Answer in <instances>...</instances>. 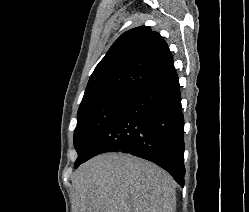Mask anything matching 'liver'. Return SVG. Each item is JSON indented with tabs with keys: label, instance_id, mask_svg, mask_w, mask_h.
Returning a JSON list of instances; mask_svg holds the SVG:
<instances>
[{
	"label": "liver",
	"instance_id": "6515ba94",
	"mask_svg": "<svg viewBox=\"0 0 249 212\" xmlns=\"http://www.w3.org/2000/svg\"><path fill=\"white\" fill-rule=\"evenodd\" d=\"M74 212H175V182L130 154H101L76 170Z\"/></svg>",
	"mask_w": 249,
	"mask_h": 212
}]
</instances>
